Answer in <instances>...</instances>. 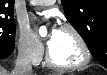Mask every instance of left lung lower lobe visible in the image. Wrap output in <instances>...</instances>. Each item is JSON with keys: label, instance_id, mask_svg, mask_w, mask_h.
I'll return each instance as SVG.
<instances>
[{"label": "left lung lower lobe", "instance_id": "obj_1", "mask_svg": "<svg viewBox=\"0 0 107 75\" xmlns=\"http://www.w3.org/2000/svg\"><path fill=\"white\" fill-rule=\"evenodd\" d=\"M106 48L100 47L95 54H93L94 58L103 66H107V60H106Z\"/></svg>", "mask_w": 107, "mask_h": 75}]
</instances>
